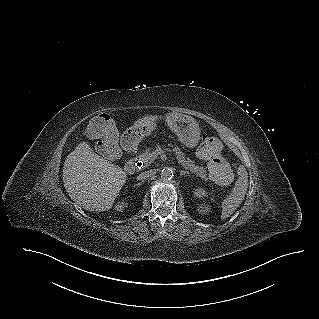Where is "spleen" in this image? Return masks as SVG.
Segmentation results:
<instances>
[{"instance_id": "3e777b00", "label": "spleen", "mask_w": 319, "mask_h": 319, "mask_svg": "<svg viewBox=\"0 0 319 319\" xmlns=\"http://www.w3.org/2000/svg\"><path fill=\"white\" fill-rule=\"evenodd\" d=\"M238 179L230 195L222 202L221 219L225 220L239 207L245 198L248 188V173L243 165L237 171Z\"/></svg>"}]
</instances>
